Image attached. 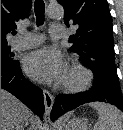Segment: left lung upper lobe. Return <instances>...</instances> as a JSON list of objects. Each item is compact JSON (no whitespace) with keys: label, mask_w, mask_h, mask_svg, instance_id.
Masks as SVG:
<instances>
[{"label":"left lung upper lobe","mask_w":123,"mask_h":130,"mask_svg":"<svg viewBox=\"0 0 123 130\" xmlns=\"http://www.w3.org/2000/svg\"><path fill=\"white\" fill-rule=\"evenodd\" d=\"M64 7V22L75 25L70 48L94 73V79L119 86L115 69L112 17L107 0H58Z\"/></svg>","instance_id":"5c2ea615"}]
</instances>
